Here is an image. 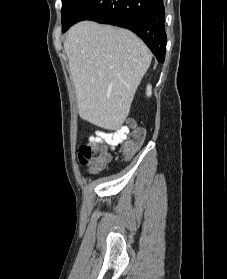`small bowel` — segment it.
I'll use <instances>...</instances> for the list:
<instances>
[{"mask_svg": "<svg viewBox=\"0 0 227 279\" xmlns=\"http://www.w3.org/2000/svg\"><path fill=\"white\" fill-rule=\"evenodd\" d=\"M128 129L126 127H121L117 129L115 132L106 133L102 130H97L96 134L101 138L99 139L102 143L103 141L110 146L111 150L114 151L117 145H120L128 136Z\"/></svg>", "mask_w": 227, "mask_h": 279, "instance_id": "c3829d8e", "label": "small bowel"}]
</instances>
